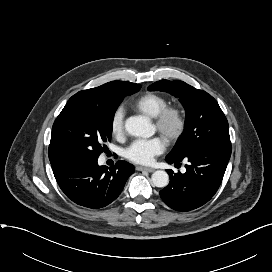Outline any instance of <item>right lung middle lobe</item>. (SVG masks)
Listing matches in <instances>:
<instances>
[{
	"label": "right lung middle lobe",
	"instance_id": "dd1d6c3e",
	"mask_svg": "<svg viewBox=\"0 0 272 272\" xmlns=\"http://www.w3.org/2000/svg\"><path fill=\"white\" fill-rule=\"evenodd\" d=\"M141 86L131 83L118 100L104 104L71 103L56 118L51 134L48 155L51 165L68 161L98 158L110 142L114 113L125 96Z\"/></svg>",
	"mask_w": 272,
	"mask_h": 272
}]
</instances>
